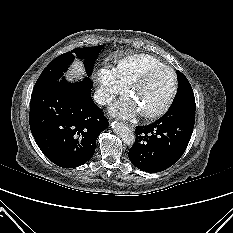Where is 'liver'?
<instances>
[{
    "label": "liver",
    "mask_w": 233,
    "mask_h": 233,
    "mask_svg": "<svg viewBox=\"0 0 233 233\" xmlns=\"http://www.w3.org/2000/svg\"><path fill=\"white\" fill-rule=\"evenodd\" d=\"M69 74L72 77H81L84 74V69H83L81 63L76 61L73 64L72 69L70 70Z\"/></svg>",
    "instance_id": "obj_1"
}]
</instances>
